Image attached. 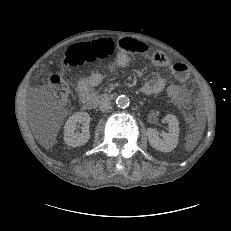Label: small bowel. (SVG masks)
Masks as SVG:
<instances>
[{
	"mask_svg": "<svg viewBox=\"0 0 231 231\" xmlns=\"http://www.w3.org/2000/svg\"><path fill=\"white\" fill-rule=\"evenodd\" d=\"M120 48L114 61L109 65V69L113 70L116 67H125L133 62L135 55L149 57L152 62L161 67H169L175 79L184 84L189 73L186 65L182 63H172L170 59L162 52L156 51L150 53L148 47L143 42L134 38L125 37L118 40ZM103 81V75L100 72H94L89 77L83 78L77 82L76 90L82 101L93 98L95 95V87ZM165 87V80L160 77L148 76L141 87L142 93L146 95L158 94Z\"/></svg>",
	"mask_w": 231,
	"mask_h": 231,
	"instance_id": "small-bowel-1",
	"label": "small bowel"
}]
</instances>
